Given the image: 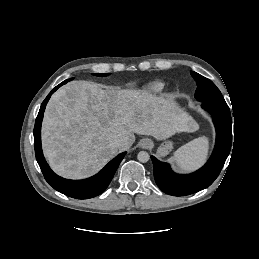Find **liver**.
<instances>
[{"instance_id":"obj_1","label":"liver","mask_w":259,"mask_h":259,"mask_svg":"<svg viewBox=\"0 0 259 259\" xmlns=\"http://www.w3.org/2000/svg\"><path fill=\"white\" fill-rule=\"evenodd\" d=\"M196 123L171 100L140 90H104L88 81H72L51 97L44 114L42 146L54 172L87 178L129 149L135 135L165 140L192 132ZM124 139L117 148L112 140Z\"/></svg>"}]
</instances>
